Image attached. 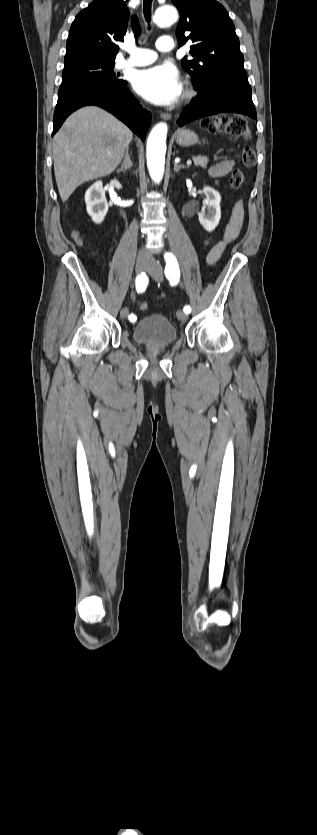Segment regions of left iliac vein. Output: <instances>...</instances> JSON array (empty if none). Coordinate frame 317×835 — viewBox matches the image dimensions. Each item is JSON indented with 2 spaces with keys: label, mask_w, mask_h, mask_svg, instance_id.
<instances>
[{
  "label": "left iliac vein",
  "mask_w": 317,
  "mask_h": 835,
  "mask_svg": "<svg viewBox=\"0 0 317 835\" xmlns=\"http://www.w3.org/2000/svg\"><path fill=\"white\" fill-rule=\"evenodd\" d=\"M146 271L151 275V277L154 280H156V281H162L163 280L162 266L156 259H154V258L149 259V263H148V266L146 268ZM177 318L180 321H185V320H187L188 315H187V313L179 310V311H177Z\"/></svg>",
  "instance_id": "4c4485c4"
}]
</instances>
